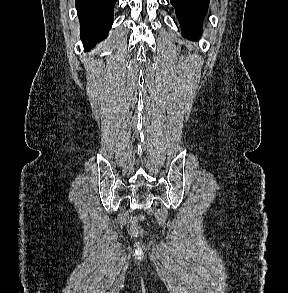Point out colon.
Masks as SVG:
<instances>
[{"label":"colon","mask_w":288,"mask_h":293,"mask_svg":"<svg viewBox=\"0 0 288 293\" xmlns=\"http://www.w3.org/2000/svg\"><path fill=\"white\" fill-rule=\"evenodd\" d=\"M132 234H133V235H138V234H139V228H138L137 225H134V226L132 227Z\"/></svg>","instance_id":"obj_1"}]
</instances>
